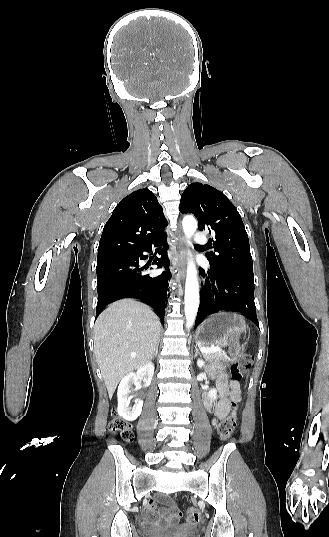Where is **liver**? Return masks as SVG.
Listing matches in <instances>:
<instances>
[{
	"label": "liver",
	"instance_id": "liver-1",
	"mask_svg": "<svg viewBox=\"0 0 329 537\" xmlns=\"http://www.w3.org/2000/svg\"><path fill=\"white\" fill-rule=\"evenodd\" d=\"M160 331L157 315L134 299L117 301L99 315L94 351L110 398L123 377L152 360Z\"/></svg>",
	"mask_w": 329,
	"mask_h": 537
}]
</instances>
